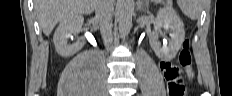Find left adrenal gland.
I'll list each match as a JSON object with an SVG mask.
<instances>
[{
	"mask_svg": "<svg viewBox=\"0 0 232 96\" xmlns=\"http://www.w3.org/2000/svg\"><path fill=\"white\" fill-rule=\"evenodd\" d=\"M145 2H146V1H145ZM146 6H147V4L141 5V6H140V11H141V12H145V11H146Z\"/></svg>",
	"mask_w": 232,
	"mask_h": 96,
	"instance_id": "a2214340",
	"label": "left adrenal gland"
}]
</instances>
